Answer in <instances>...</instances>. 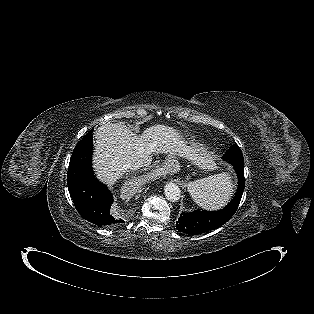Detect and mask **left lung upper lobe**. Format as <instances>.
<instances>
[{"mask_svg":"<svg viewBox=\"0 0 314 314\" xmlns=\"http://www.w3.org/2000/svg\"><path fill=\"white\" fill-rule=\"evenodd\" d=\"M223 159L231 164L243 163V155L239 146L237 144L231 146L223 156Z\"/></svg>","mask_w":314,"mask_h":314,"instance_id":"left-lung-upper-lobe-1","label":"left lung upper lobe"}]
</instances>
